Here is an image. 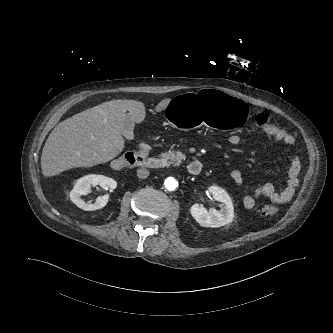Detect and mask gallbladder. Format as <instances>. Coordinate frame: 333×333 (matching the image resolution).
Here are the masks:
<instances>
[{"label":"gallbladder","mask_w":333,"mask_h":333,"mask_svg":"<svg viewBox=\"0 0 333 333\" xmlns=\"http://www.w3.org/2000/svg\"><path fill=\"white\" fill-rule=\"evenodd\" d=\"M134 125H135L134 120L130 115L127 114L122 123L121 132L124 135V137L128 140L134 139V133H133Z\"/></svg>","instance_id":"gallbladder-1"}]
</instances>
